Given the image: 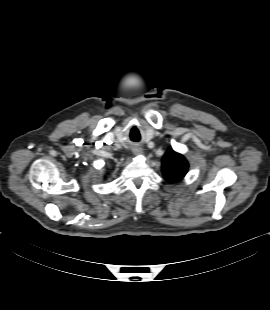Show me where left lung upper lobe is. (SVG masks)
<instances>
[{
	"instance_id": "obj_1",
	"label": "left lung upper lobe",
	"mask_w": 270,
	"mask_h": 310,
	"mask_svg": "<svg viewBox=\"0 0 270 310\" xmlns=\"http://www.w3.org/2000/svg\"><path fill=\"white\" fill-rule=\"evenodd\" d=\"M188 171V162L183 155L169 149L162 159V173L171 183L180 181Z\"/></svg>"
}]
</instances>
